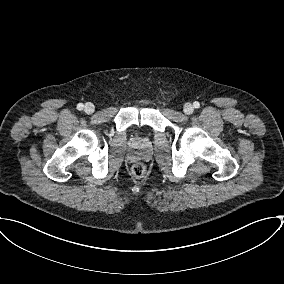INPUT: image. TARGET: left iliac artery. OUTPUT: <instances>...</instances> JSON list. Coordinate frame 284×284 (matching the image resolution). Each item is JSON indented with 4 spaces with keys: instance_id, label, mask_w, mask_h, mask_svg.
I'll list each match as a JSON object with an SVG mask.
<instances>
[{
    "instance_id": "44dca946",
    "label": "left iliac artery",
    "mask_w": 284,
    "mask_h": 284,
    "mask_svg": "<svg viewBox=\"0 0 284 284\" xmlns=\"http://www.w3.org/2000/svg\"><path fill=\"white\" fill-rule=\"evenodd\" d=\"M193 105H194L195 108H199V107H200V104H199V102H197V101H195V102L193 103Z\"/></svg>"
}]
</instances>
